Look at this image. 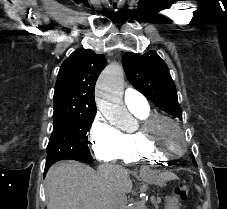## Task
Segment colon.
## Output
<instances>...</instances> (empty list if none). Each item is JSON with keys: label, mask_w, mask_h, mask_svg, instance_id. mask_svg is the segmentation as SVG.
<instances>
[{"label": "colon", "mask_w": 227, "mask_h": 209, "mask_svg": "<svg viewBox=\"0 0 227 209\" xmlns=\"http://www.w3.org/2000/svg\"><path fill=\"white\" fill-rule=\"evenodd\" d=\"M188 191V186L186 184L180 185L174 189V192L178 199L184 200Z\"/></svg>", "instance_id": "colon-1"}]
</instances>
